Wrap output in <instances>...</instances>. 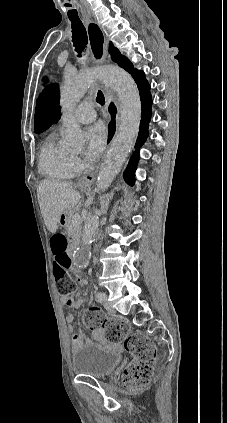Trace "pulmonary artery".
Listing matches in <instances>:
<instances>
[{
    "label": "pulmonary artery",
    "mask_w": 227,
    "mask_h": 423,
    "mask_svg": "<svg viewBox=\"0 0 227 423\" xmlns=\"http://www.w3.org/2000/svg\"><path fill=\"white\" fill-rule=\"evenodd\" d=\"M96 111L91 103L83 102L74 112V120L79 124H90L96 120Z\"/></svg>",
    "instance_id": "obj_1"
}]
</instances>
